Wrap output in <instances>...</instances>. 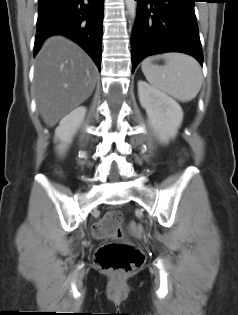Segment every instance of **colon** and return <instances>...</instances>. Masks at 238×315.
<instances>
[{"label": "colon", "mask_w": 238, "mask_h": 315, "mask_svg": "<svg viewBox=\"0 0 238 315\" xmlns=\"http://www.w3.org/2000/svg\"><path fill=\"white\" fill-rule=\"evenodd\" d=\"M122 215L112 211L107 213L94 225L93 233L98 239H119ZM132 229L140 232V228L132 225ZM145 255L138 247L127 242H110L101 245L94 256L95 264L102 270L118 275L130 273L141 267Z\"/></svg>", "instance_id": "1"}]
</instances>
